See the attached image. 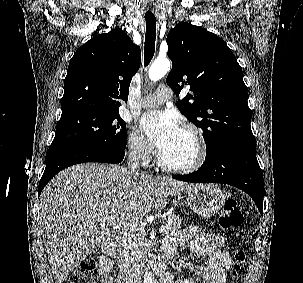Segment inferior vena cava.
<instances>
[{"label":"inferior vena cava","instance_id":"1","mask_svg":"<svg viewBox=\"0 0 303 283\" xmlns=\"http://www.w3.org/2000/svg\"><path fill=\"white\" fill-rule=\"evenodd\" d=\"M128 168L133 171L135 174H142L138 172L139 165H140V150L139 148H134L128 154L127 159Z\"/></svg>","mask_w":303,"mask_h":283}]
</instances>
